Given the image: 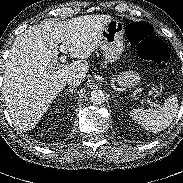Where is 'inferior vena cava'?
Masks as SVG:
<instances>
[{
  "label": "inferior vena cava",
  "mask_w": 183,
  "mask_h": 183,
  "mask_svg": "<svg viewBox=\"0 0 183 183\" xmlns=\"http://www.w3.org/2000/svg\"><path fill=\"white\" fill-rule=\"evenodd\" d=\"M69 84L79 85L83 81V76L80 74H72L67 79Z\"/></svg>",
  "instance_id": "obj_1"
}]
</instances>
